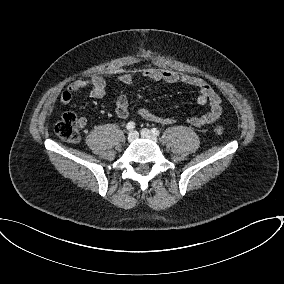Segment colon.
<instances>
[{"label": "colon", "mask_w": 284, "mask_h": 284, "mask_svg": "<svg viewBox=\"0 0 284 284\" xmlns=\"http://www.w3.org/2000/svg\"><path fill=\"white\" fill-rule=\"evenodd\" d=\"M79 121L75 115L65 113L55 125V133L63 140L71 143H76L80 139ZM216 134L221 135L224 133V128L221 125L214 127Z\"/></svg>", "instance_id": "1"}]
</instances>
